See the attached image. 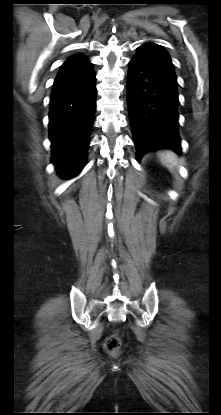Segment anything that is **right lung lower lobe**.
<instances>
[{
  "label": "right lung lower lobe",
  "mask_w": 221,
  "mask_h": 415,
  "mask_svg": "<svg viewBox=\"0 0 221 415\" xmlns=\"http://www.w3.org/2000/svg\"><path fill=\"white\" fill-rule=\"evenodd\" d=\"M96 95L91 63L61 69L54 81L49 112L52 162L67 177L86 165Z\"/></svg>",
  "instance_id": "98d812e1"
}]
</instances>
